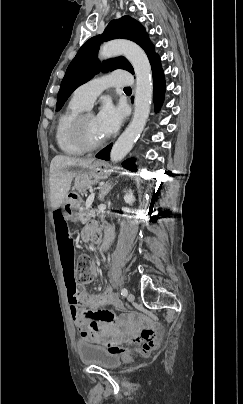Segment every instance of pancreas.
<instances>
[{
	"label": "pancreas",
	"instance_id": "obj_1",
	"mask_svg": "<svg viewBox=\"0 0 243 404\" xmlns=\"http://www.w3.org/2000/svg\"><path fill=\"white\" fill-rule=\"evenodd\" d=\"M91 218H95V210H86L84 208L82 214L79 216L80 223L87 224Z\"/></svg>",
	"mask_w": 243,
	"mask_h": 404
}]
</instances>
